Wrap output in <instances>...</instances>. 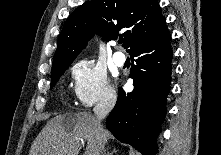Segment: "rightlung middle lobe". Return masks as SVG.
<instances>
[{
    "label": "right lung middle lobe",
    "instance_id": "dd1d6c3e",
    "mask_svg": "<svg viewBox=\"0 0 221 155\" xmlns=\"http://www.w3.org/2000/svg\"><path fill=\"white\" fill-rule=\"evenodd\" d=\"M70 64L58 67L51 71V88L55 86L62 74L67 70Z\"/></svg>",
    "mask_w": 221,
    "mask_h": 155
}]
</instances>
